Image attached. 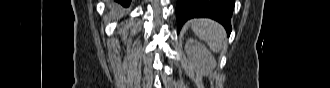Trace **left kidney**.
Listing matches in <instances>:
<instances>
[{"label": "left kidney", "mask_w": 330, "mask_h": 88, "mask_svg": "<svg viewBox=\"0 0 330 88\" xmlns=\"http://www.w3.org/2000/svg\"><path fill=\"white\" fill-rule=\"evenodd\" d=\"M185 50L191 66L202 75H208L216 67L215 58L202 43L188 39Z\"/></svg>", "instance_id": "1"}]
</instances>
